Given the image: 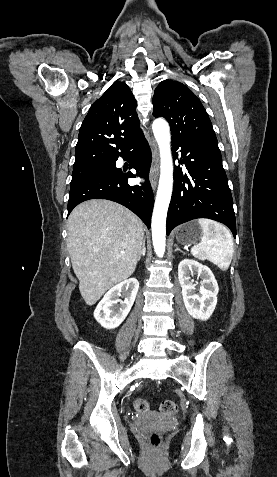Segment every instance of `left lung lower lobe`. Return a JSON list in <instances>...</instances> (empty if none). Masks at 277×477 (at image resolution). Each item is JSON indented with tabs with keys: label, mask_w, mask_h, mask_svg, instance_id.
I'll use <instances>...</instances> for the list:
<instances>
[{
	"label": "left lung lower lobe",
	"mask_w": 277,
	"mask_h": 477,
	"mask_svg": "<svg viewBox=\"0 0 277 477\" xmlns=\"http://www.w3.org/2000/svg\"><path fill=\"white\" fill-rule=\"evenodd\" d=\"M175 152L181 147V164L175 167L174 187L167 215V235L184 222L209 218L230 228L236 237L233 200L217 140L172 138Z\"/></svg>",
	"instance_id": "left-lung-lower-lobe-1"
}]
</instances>
